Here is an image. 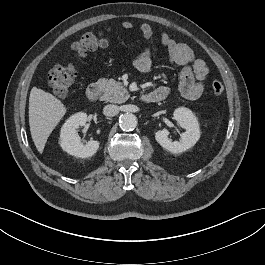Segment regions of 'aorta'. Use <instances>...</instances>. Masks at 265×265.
Instances as JSON below:
<instances>
[{
    "mask_svg": "<svg viewBox=\"0 0 265 265\" xmlns=\"http://www.w3.org/2000/svg\"><path fill=\"white\" fill-rule=\"evenodd\" d=\"M120 128L124 131H132L137 126V117L134 114L126 113L120 118Z\"/></svg>",
    "mask_w": 265,
    "mask_h": 265,
    "instance_id": "obj_1",
    "label": "aorta"
}]
</instances>
